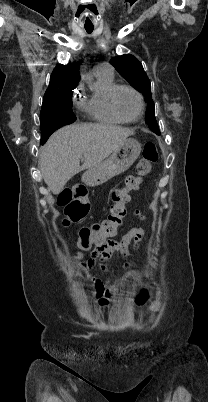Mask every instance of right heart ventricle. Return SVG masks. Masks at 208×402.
Segmentation results:
<instances>
[{"mask_svg":"<svg viewBox=\"0 0 208 402\" xmlns=\"http://www.w3.org/2000/svg\"><path fill=\"white\" fill-rule=\"evenodd\" d=\"M95 75L99 88L92 92L87 104L92 124L96 126H120L125 124L112 113L110 108L111 93L118 85L111 77L99 73H95Z\"/></svg>","mask_w":208,"mask_h":402,"instance_id":"1","label":"right heart ventricle"}]
</instances>
